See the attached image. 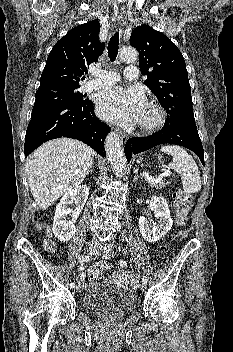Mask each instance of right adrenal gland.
Wrapping results in <instances>:
<instances>
[{"instance_id":"1","label":"right adrenal gland","mask_w":233,"mask_h":352,"mask_svg":"<svg viewBox=\"0 0 233 352\" xmlns=\"http://www.w3.org/2000/svg\"><path fill=\"white\" fill-rule=\"evenodd\" d=\"M88 174H92V166H91L90 170L88 171L87 175Z\"/></svg>"}]
</instances>
